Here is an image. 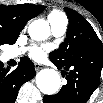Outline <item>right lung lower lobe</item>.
<instances>
[{
  "instance_id": "98d812e1",
  "label": "right lung lower lobe",
  "mask_w": 103,
  "mask_h": 103,
  "mask_svg": "<svg viewBox=\"0 0 103 103\" xmlns=\"http://www.w3.org/2000/svg\"><path fill=\"white\" fill-rule=\"evenodd\" d=\"M34 75V64L29 58L21 61L12 72L0 62V103H14L20 87Z\"/></svg>"
}]
</instances>
